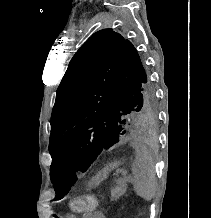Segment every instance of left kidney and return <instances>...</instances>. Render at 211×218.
Here are the masks:
<instances>
[{
	"instance_id": "left-kidney-1",
	"label": "left kidney",
	"mask_w": 211,
	"mask_h": 218,
	"mask_svg": "<svg viewBox=\"0 0 211 218\" xmlns=\"http://www.w3.org/2000/svg\"><path fill=\"white\" fill-rule=\"evenodd\" d=\"M118 211H119V212H126V211H127V208H126V207H119V208H118Z\"/></svg>"
}]
</instances>
